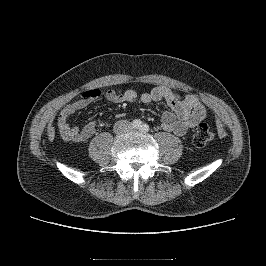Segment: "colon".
I'll use <instances>...</instances> for the list:
<instances>
[{
  "label": "colon",
  "mask_w": 266,
  "mask_h": 266,
  "mask_svg": "<svg viewBox=\"0 0 266 266\" xmlns=\"http://www.w3.org/2000/svg\"><path fill=\"white\" fill-rule=\"evenodd\" d=\"M214 132L207 123H200L193 135V143L196 147H203L212 141Z\"/></svg>",
  "instance_id": "5ec220e1"
}]
</instances>
